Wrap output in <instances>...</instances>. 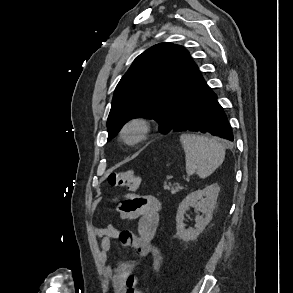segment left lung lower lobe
<instances>
[{
	"mask_svg": "<svg viewBox=\"0 0 293 293\" xmlns=\"http://www.w3.org/2000/svg\"><path fill=\"white\" fill-rule=\"evenodd\" d=\"M172 131H197L210 133L233 141V133L216 94L208 88L186 105Z\"/></svg>",
	"mask_w": 293,
	"mask_h": 293,
	"instance_id": "left-lung-lower-lobe-1",
	"label": "left lung lower lobe"
}]
</instances>
